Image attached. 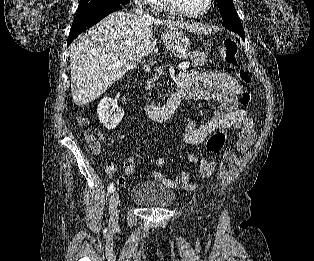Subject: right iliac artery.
Instances as JSON below:
<instances>
[{
	"instance_id": "1",
	"label": "right iliac artery",
	"mask_w": 314,
	"mask_h": 261,
	"mask_svg": "<svg viewBox=\"0 0 314 261\" xmlns=\"http://www.w3.org/2000/svg\"><path fill=\"white\" fill-rule=\"evenodd\" d=\"M114 191V184L111 183L108 187V194H111Z\"/></svg>"
}]
</instances>
